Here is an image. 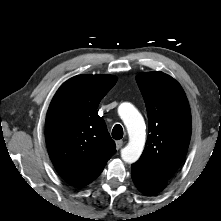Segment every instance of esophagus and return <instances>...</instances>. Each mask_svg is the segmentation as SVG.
Segmentation results:
<instances>
[{"instance_id":"esophagus-1","label":"esophagus","mask_w":221,"mask_h":221,"mask_svg":"<svg viewBox=\"0 0 221 221\" xmlns=\"http://www.w3.org/2000/svg\"><path fill=\"white\" fill-rule=\"evenodd\" d=\"M123 144H124V143H123L122 140H118V141H116V147H117V149L122 148Z\"/></svg>"}]
</instances>
